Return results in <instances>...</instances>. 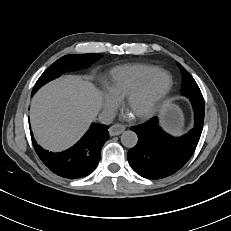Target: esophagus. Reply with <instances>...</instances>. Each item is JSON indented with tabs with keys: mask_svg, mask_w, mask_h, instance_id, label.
<instances>
[{
	"mask_svg": "<svg viewBox=\"0 0 231 231\" xmlns=\"http://www.w3.org/2000/svg\"><path fill=\"white\" fill-rule=\"evenodd\" d=\"M125 130V126L122 124H115L109 128L110 136L120 135Z\"/></svg>",
	"mask_w": 231,
	"mask_h": 231,
	"instance_id": "esophagus-1",
	"label": "esophagus"
}]
</instances>
